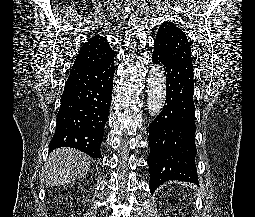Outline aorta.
Wrapping results in <instances>:
<instances>
[{
    "label": "aorta",
    "mask_w": 255,
    "mask_h": 217,
    "mask_svg": "<svg viewBox=\"0 0 255 217\" xmlns=\"http://www.w3.org/2000/svg\"><path fill=\"white\" fill-rule=\"evenodd\" d=\"M147 107L151 117H156L162 111L166 100V76L160 67H154L147 81Z\"/></svg>",
    "instance_id": "obj_1"
}]
</instances>
